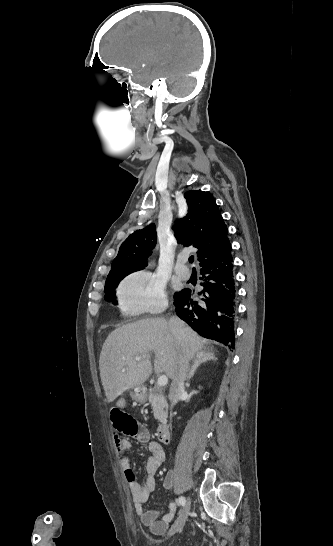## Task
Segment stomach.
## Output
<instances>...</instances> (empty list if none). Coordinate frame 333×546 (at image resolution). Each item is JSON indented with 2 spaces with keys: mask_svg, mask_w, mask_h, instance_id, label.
<instances>
[{
  "mask_svg": "<svg viewBox=\"0 0 333 546\" xmlns=\"http://www.w3.org/2000/svg\"><path fill=\"white\" fill-rule=\"evenodd\" d=\"M131 398L138 403L143 404L146 401V389L142 385L135 386L130 391Z\"/></svg>",
  "mask_w": 333,
  "mask_h": 546,
  "instance_id": "0dacf381",
  "label": "stomach"
}]
</instances>
